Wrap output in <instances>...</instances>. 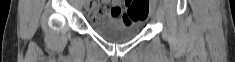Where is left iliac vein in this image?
I'll list each match as a JSON object with an SVG mask.
<instances>
[{"instance_id": "4c4485c4", "label": "left iliac vein", "mask_w": 235, "mask_h": 62, "mask_svg": "<svg viewBox=\"0 0 235 62\" xmlns=\"http://www.w3.org/2000/svg\"><path fill=\"white\" fill-rule=\"evenodd\" d=\"M149 14L151 19L154 20L156 17V6L154 4L151 5Z\"/></svg>"}]
</instances>
